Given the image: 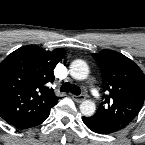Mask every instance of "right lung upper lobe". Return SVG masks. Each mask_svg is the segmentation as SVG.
Instances as JSON below:
<instances>
[{"mask_svg":"<svg viewBox=\"0 0 145 145\" xmlns=\"http://www.w3.org/2000/svg\"><path fill=\"white\" fill-rule=\"evenodd\" d=\"M66 51L38 46L21 47L0 63V116L15 126L43 116L58 103L49 84L53 70Z\"/></svg>","mask_w":145,"mask_h":145,"instance_id":"obj_1","label":"right lung upper lobe"}]
</instances>
